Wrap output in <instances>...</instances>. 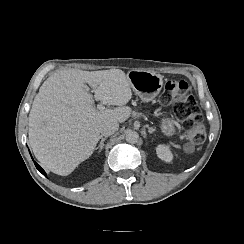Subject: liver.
<instances>
[{"mask_svg": "<svg viewBox=\"0 0 244 244\" xmlns=\"http://www.w3.org/2000/svg\"><path fill=\"white\" fill-rule=\"evenodd\" d=\"M114 109H98L93 96ZM129 81L120 69L61 70L44 81L29 114V142L36 159L55 174L67 176L94 151L99 126L125 122L131 108Z\"/></svg>", "mask_w": 244, "mask_h": 244, "instance_id": "6515ba94", "label": "liver"}]
</instances>
